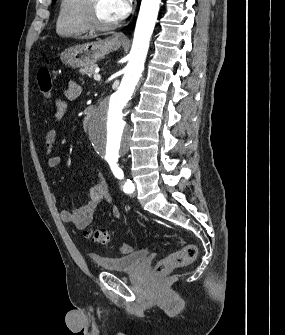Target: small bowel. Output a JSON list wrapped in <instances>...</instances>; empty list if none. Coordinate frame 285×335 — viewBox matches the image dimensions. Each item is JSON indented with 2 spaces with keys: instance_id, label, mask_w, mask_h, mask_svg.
<instances>
[{
  "instance_id": "1",
  "label": "small bowel",
  "mask_w": 285,
  "mask_h": 335,
  "mask_svg": "<svg viewBox=\"0 0 285 335\" xmlns=\"http://www.w3.org/2000/svg\"><path fill=\"white\" fill-rule=\"evenodd\" d=\"M81 93V87L71 82L66 89L63 98L55 103L54 120L59 121L65 113L67 102L74 100ZM57 139V130L51 129L47 132L44 141L45 153L49 156L48 165L50 168H57L61 164V157L54 153ZM93 179L89 192V198L85 204L75 210L62 209L60 216L64 222L73 224L77 229L84 230L93 222L96 210L103 204H111V196L108 185L102 175H90ZM112 212L115 217L120 216L116 206H112Z\"/></svg>"
}]
</instances>
